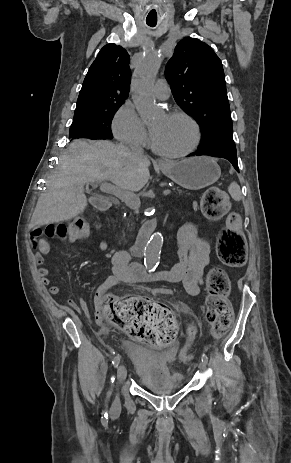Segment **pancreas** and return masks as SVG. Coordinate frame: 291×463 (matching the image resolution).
Wrapping results in <instances>:
<instances>
[{
	"mask_svg": "<svg viewBox=\"0 0 291 463\" xmlns=\"http://www.w3.org/2000/svg\"><path fill=\"white\" fill-rule=\"evenodd\" d=\"M172 190L177 196H180V197H187L190 195V193L180 189L179 187H173Z\"/></svg>",
	"mask_w": 291,
	"mask_h": 463,
	"instance_id": "pancreas-1",
	"label": "pancreas"
}]
</instances>
